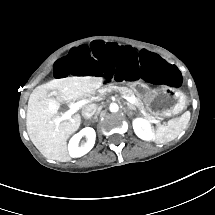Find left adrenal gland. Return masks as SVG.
<instances>
[{"instance_id": "left-adrenal-gland-1", "label": "left adrenal gland", "mask_w": 215, "mask_h": 215, "mask_svg": "<svg viewBox=\"0 0 215 215\" xmlns=\"http://www.w3.org/2000/svg\"><path fill=\"white\" fill-rule=\"evenodd\" d=\"M128 108H129V109H132V108H130L129 106H128ZM133 110H134V109H133ZM130 114H131V112H130Z\"/></svg>"}]
</instances>
